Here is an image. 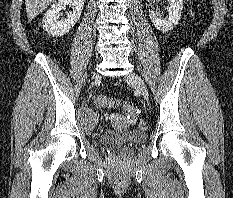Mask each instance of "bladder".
<instances>
[{"label": "bladder", "mask_w": 233, "mask_h": 198, "mask_svg": "<svg viewBox=\"0 0 233 198\" xmlns=\"http://www.w3.org/2000/svg\"><path fill=\"white\" fill-rule=\"evenodd\" d=\"M82 120L87 128H93L98 122V113L93 110H87L84 112ZM145 139L146 133L140 128H134L125 132L110 131L102 137L103 142L110 145L139 144Z\"/></svg>", "instance_id": "1"}]
</instances>
